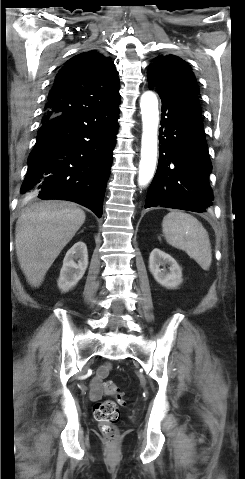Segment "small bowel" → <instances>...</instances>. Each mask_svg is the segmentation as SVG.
Masks as SVG:
<instances>
[{
    "instance_id": "1",
    "label": "small bowel",
    "mask_w": 245,
    "mask_h": 479,
    "mask_svg": "<svg viewBox=\"0 0 245 479\" xmlns=\"http://www.w3.org/2000/svg\"><path fill=\"white\" fill-rule=\"evenodd\" d=\"M109 370V364L103 365L97 370L95 377L90 383V398L92 400H99L103 396V380L109 374Z\"/></svg>"
}]
</instances>
